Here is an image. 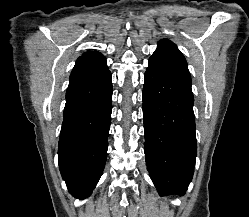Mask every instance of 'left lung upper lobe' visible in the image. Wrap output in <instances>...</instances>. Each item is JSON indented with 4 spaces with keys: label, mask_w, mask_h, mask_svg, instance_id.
<instances>
[{
    "label": "left lung upper lobe",
    "mask_w": 249,
    "mask_h": 217,
    "mask_svg": "<svg viewBox=\"0 0 249 217\" xmlns=\"http://www.w3.org/2000/svg\"><path fill=\"white\" fill-rule=\"evenodd\" d=\"M150 59L173 63L188 69L183 54L179 51L177 46L168 39H163L158 42V47Z\"/></svg>",
    "instance_id": "obj_1"
}]
</instances>
